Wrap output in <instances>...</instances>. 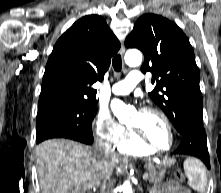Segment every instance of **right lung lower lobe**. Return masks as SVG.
I'll return each mask as SVG.
<instances>
[{"instance_id":"1","label":"right lung lower lobe","mask_w":221,"mask_h":193,"mask_svg":"<svg viewBox=\"0 0 221 193\" xmlns=\"http://www.w3.org/2000/svg\"><path fill=\"white\" fill-rule=\"evenodd\" d=\"M86 141H87L86 144H91L93 142V138L92 139H87Z\"/></svg>"}]
</instances>
